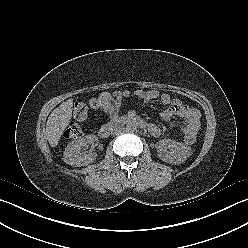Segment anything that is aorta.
<instances>
[{"label": "aorta", "mask_w": 248, "mask_h": 248, "mask_svg": "<svg viewBox=\"0 0 248 248\" xmlns=\"http://www.w3.org/2000/svg\"><path fill=\"white\" fill-rule=\"evenodd\" d=\"M136 124L134 122H131L129 121L127 124H126V130L129 131V132H134L136 130Z\"/></svg>", "instance_id": "1"}]
</instances>
